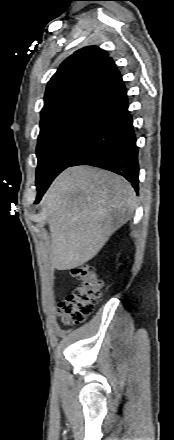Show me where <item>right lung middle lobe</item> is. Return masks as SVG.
I'll return each instance as SVG.
<instances>
[{"label": "right lung middle lobe", "instance_id": "dd1d6c3e", "mask_svg": "<svg viewBox=\"0 0 174 440\" xmlns=\"http://www.w3.org/2000/svg\"><path fill=\"white\" fill-rule=\"evenodd\" d=\"M98 96L81 98L41 119L36 186L50 184L76 156L92 124Z\"/></svg>", "mask_w": 174, "mask_h": 440}]
</instances>
